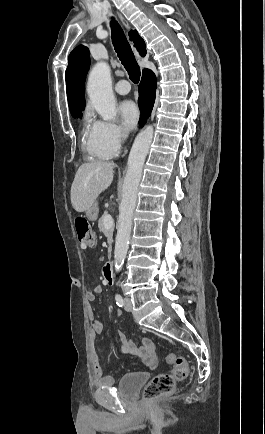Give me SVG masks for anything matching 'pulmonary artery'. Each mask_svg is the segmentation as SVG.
Wrapping results in <instances>:
<instances>
[{"label": "pulmonary artery", "instance_id": "obj_1", "mask_svg": "<svg viewBox=\"0 0 265 434\" xmlns=\"http://www.w3.org/2000/svg\"><path fill=\"white\" fill-rule=\"evenodd\" d=\"M95 67V65L93 66V68ZM130 81H125L124 79L121 81H117V84L115 85V91L121 95H125L127 93H129L130 91Z\"/></svg>", "mask_w": 265, "mask_h": 434}]
</instances>
